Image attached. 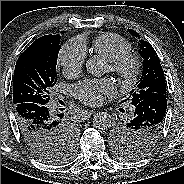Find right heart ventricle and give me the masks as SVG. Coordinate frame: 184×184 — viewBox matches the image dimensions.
Here are the masks:
<instances>
[{"label":"right heart ventricle","mask_w":184,"mask_h":184,"mask_svg":"<svg viewBox=\"0 0 184 184\" xmlns=\"http://www.w3.org/2000/svg\"><path fill=\"white\" fill-rule=\"evenodd\" d=\"M130 49L131 45L128 41L112 33L101 34L92 42V50L106 61L115 60L122 54L129 52Z\"/></svg>","instance_id":"right-heart-ventricle-1"}]
</instances>
